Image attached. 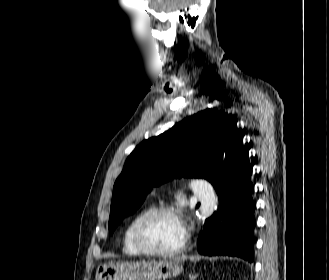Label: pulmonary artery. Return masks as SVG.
Listing matches in <instances>:
<instances>
[{
  "instance_id": "1",
  "label": "pulmonary artery",
  "mask_w": 329,
  "mask_h": 280,
  "mask_svg": "<svg viewBox=\"0 0 329 280\" xmlns=\"http://www.w3.org/2000/svg\"><path fill=\"white\" fill-rule=\"evenodd\" d=\"M193 187L196 196L203 202H207L212 198L213 189L211 184L203 179H198L193 182Z\"/></svg>"
}]
</instances>
